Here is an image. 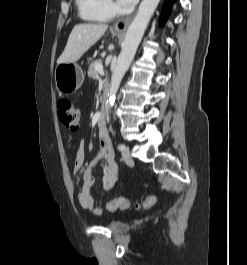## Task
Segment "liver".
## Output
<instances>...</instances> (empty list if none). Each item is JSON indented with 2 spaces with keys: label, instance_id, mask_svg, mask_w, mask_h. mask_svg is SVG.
Segmentation results:
<instances>
[{
  "label": "liver",
  "instance_id": "6515ba94",
  "mask_svg": "<svg viewBox=\"0 0 247 265\" xmlns=\"http://www.w3.org/2000/svg\"><path fill=\"white\" fill-rule=\"evenodd\" d=\"M106 24H78L72 29L66 47L57 60V64L75 63L105 33Z\"/></svg>",
  "mask_w": 247,
  "mask_h": 265
}]
</instances>
